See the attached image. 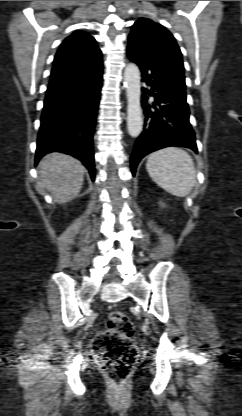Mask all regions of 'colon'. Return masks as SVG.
<instances>
[{
	"mask_svg": "<svg viewBox=\"0 0 242 416\" xmlns=\"http://www.w3.org/2000/svg\"><path fill=\"white\" fill-rule=\"evenodd\" d=\"M133 324L120 310H113L107 318V327L97 334L94 350L104 370L114 383L124 382L137 360V349L132 341Z\"/></svg>",
	"mask_w": 242,
	"mask_h": 416,
	"instance_id": "colon-1",
	"label": "colon"
}]
</instances>
